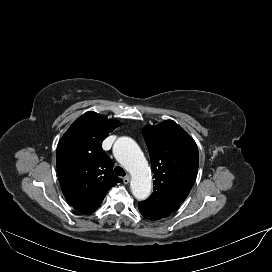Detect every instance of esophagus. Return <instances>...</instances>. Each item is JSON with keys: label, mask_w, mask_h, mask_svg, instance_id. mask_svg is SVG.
I'll use <instances>...</instances> for the list:
<instances>
[{"label": "esophagus", "mask_w": 272, "mask_h": 272, "mask_svg": "<svg viewBox=\"0 0 272 272\" xmlns=\"http://www.w3.org/2000/svg\"><path fill=\"white\" fill-rule=\"evenodd\" d=\"M123 182H124V184H128L130 182V176L129 175L125 176L123 178Z\"/></svg>", "instance_id": "esophagus-1"}]
</instances>
